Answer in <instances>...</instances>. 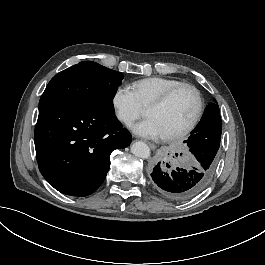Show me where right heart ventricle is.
<instances>
[{
	"label": "right heart ventricle",
	"instance_id": "right-heart-ventricle-1",
	"mask_svg": "<svg viewBox=\"0 0 265 265\" xmlns=\"http://www.w3.org/2000/svg\"><path fill=\"white\" fill-rule=\"evenodd\" d=\"M184 84L183 81L166 77H148L131 84L140 105L145 109L171 89Z\"/></svg>",
	"mask_w": 265,
	"mask_h": 265
}]
</instances>
